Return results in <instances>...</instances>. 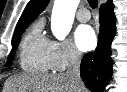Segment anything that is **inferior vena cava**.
I'll list each match as a JSON object with an SVG mask.
<instances>
[{
	"instance_id": "inferior-vena-cava-1",
	"label": "inferior vena cava",
	"mask_w": 127,
	"mask_h": 92,
	"mask_svg": "<svg viewBox=\"0 0 127 92\" xmlns=\"http://www.w3.org/2000/svg\"><path fill=\"white\" fill-rule=\"evenodd\" d=\"M80 64L81 54L75 48H72L70 51L69 63L65 76L69 78L75 86H78L79 83H81Z\"/></svg>"
}]
</instances>
